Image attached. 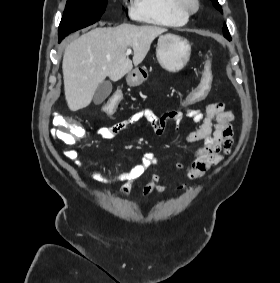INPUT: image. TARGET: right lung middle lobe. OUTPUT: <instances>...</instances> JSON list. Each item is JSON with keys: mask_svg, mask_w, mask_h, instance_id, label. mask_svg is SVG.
I'll list each match as a JSON object with an SVG mask.
<instances>
[{"mask_svg": "<svg viewBox=\"0 0 280 283\" xmlns=\"http://www.w3.org/2000/svg\"><path fill=\"white\" fill-rule=\"evenodd\" d=\"M107 0H68L59 25V39L100 20Z\"/></svg>", "mask_w": 280, "mask_h": 283, "instance_id": "right-lung-middle-lobe-1", "label": "right lung middle lobe"}]
</instances>
